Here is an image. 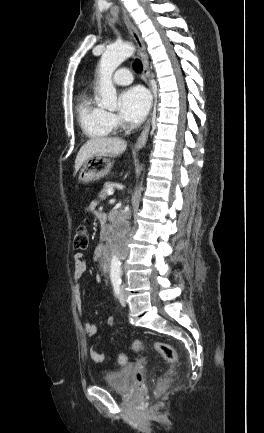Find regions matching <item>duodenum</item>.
<instances>
[{
	"mask_svg": "<svg viewBox=\"0 0 264 433\" xmlns=\"http://www.w3.org/2000/svg\"><path fill=\"white\" fill-rule=\"evenodd\" d=\"M99 217L102 219L103 222H105L106 219L105 215L101 213ZM109 250H110V245L106 244L105 246H102L96 254L97 260H100L103 264H105L106 271H109V266H108Z\"/></svg>",
	"mask_w": 264,
	"mask_h": 433,
	"instance_id": "410a0bca",
	"label": "duodenum"
}]
</instances>
